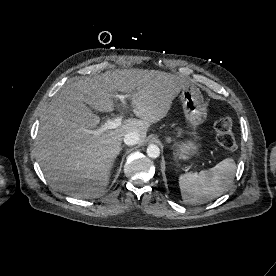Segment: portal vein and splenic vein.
I'll return each instance as SVG.
<instances>
[{
    "label": "portal vein and splenic vein",
    "instance_id": "portal-vein-and-splenic-vein-1",
    "mask_svg": "<svg viewBox=\"0 0 276 276\" xmlns=\"http://www.w3.org/2000/svg\"><path fill=\"white\" fill-rule=\"evenodd\" d=\"M127 96L125 95H119L118 98L121 100L124 107H126L125 98ZM122 122V116H118L112 120L107 121L104 125H102L97 130H90L88 131L90 134H93L95 137L101 135L104 131L110 130V129H116L121 125Z\"/></svg>",
    "mask_w": 276,
    "mask_h": 276
}]
</instances>
